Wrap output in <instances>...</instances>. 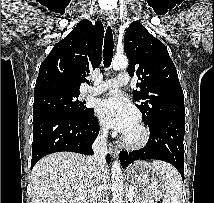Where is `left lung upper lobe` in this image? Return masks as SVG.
<instances>
[{"instance_id": "left-lung-upper-lobe-1", "label": "left lung upper lobe", "mask_w": 214, "mask_h": 203, "mask_svg": "<svg viewBox=\"0 0 214 203\" xmlns=\"http://www.w3.org/2000/svg\"><path fill=\"white\" fill-rule=\"evenodd\" d=\"M124 51L129 75L139 80L133 97L143 120L151 125L163 116H185L183 90L165 45L135 21L125 32Z\"/></svg>"}]
</instances>
